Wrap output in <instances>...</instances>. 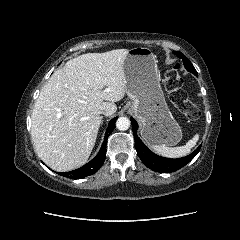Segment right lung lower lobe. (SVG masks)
I'll use <instances>...</instances> for the list:
<instances>
[{
  "label": "right lung lower lobe",
  "mask_w": 240,
  "mask_h": 240,
  "mask_svg": "<svg viewBox=\"0 0 240 240\" xmlns=\"http://www.w3.org/2000/svg\"><path fill=\"white\" fill-rule=\"evenodd\" d=\"M116 120H117V117L113 118L109 122L108 128L105 133L104 142L102 143L99 153L97 154V156L94 159H92L90 162H88L81 168H78V169L70 171V172H61L58 174L62 175L64 177H69L71 179H80V178H83V177H86V176L96 173V171H98V169L102 166V164L105 161L107 139L115 127Z\"/></svg>",
  "instance_id": "right-lung-lower-lobe-1"
}]
</instances>
